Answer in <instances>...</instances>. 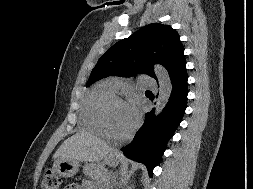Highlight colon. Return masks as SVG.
<instances>
[{"mask_svg":"<svg viewBox=\"0 0 253 189\" xmlns=\"http://www.w3.org/2000/svg\"><path fill=\"white\" fill-rule=\"evenodd\" d=\"M60 186H61V179L59 178V176L51 170L47 171L43 177L41 188L60 189Z\"/></svg>","mask_w":253,"mask_h":189,"instance_id":"1","label":"colon"}]
</instances>
